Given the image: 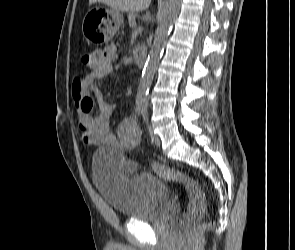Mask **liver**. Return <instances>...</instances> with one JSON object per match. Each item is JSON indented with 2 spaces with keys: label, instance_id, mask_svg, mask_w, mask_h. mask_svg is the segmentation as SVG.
<instances>
[{
  "label": "liver",
  "instance_id": "liver-1",
  "mask_svg": "<svg viewBox=\"0 0 295 250\" xmlns=\"http://www.w3.org/2000/svg\"><path fill=\"white\" fill-rule=\"evenodd\" d=\"M103 3L117 11L139 12L147 9L151 0H89V4Z\"/></svg>",
  "mask_w": 295,
  "mask_h": 250
}]
</instances>
